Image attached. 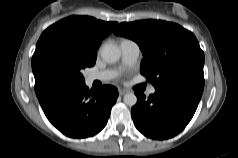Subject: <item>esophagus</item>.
<instances>
[{
  "mask_svg": "<svg viewBox=\"0 0 238 158\" xmlns=\"http://www.w3.org/2000/svg\"><path fill=\"white\" fill-rule=\"evenodd\" d=\"M118 92H119V95L122 96V95H124V94L127 93V90H125V89H119Z\"/></svg>",
  "mask_w": 238,
  "mask_h": 158,
  "instance_id": "1",
  "label": "esophagus"
}]
</instances>
